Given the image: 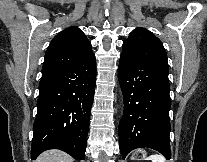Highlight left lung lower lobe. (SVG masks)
<instances>
[{
	"mask_svg": "<svg viewBox=\"0 0 207 162\" xmlns=\"http://www.w3.org/2000/svg\"><path fill=\"white\" fill-rule=\"evenodd\" d=\"M118 79L124 112L119 124L123 159L136 148H151L171 158L168 72L120 57Z\"/></svg>",
	"mask_w": 207,
	"mask_h": 162,
	"instance_id": "left-lung-lower-lobe-1",
	"label": "left lung lower lobe"
}]
</instances>
